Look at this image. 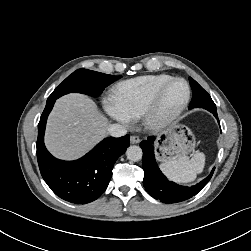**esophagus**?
Masks as SVG:
<instances>
[{
  "instance_id": "34e87169",
  "label": "esophagus",
  "mask_w": 251,
  "mask_h": 251,
  "mask_svg": "<svg viewBox=\"0 0 251 251\" xmlns=\"http://www.w3.org/2000/svg\"><path fill=\"white\" fill-rule=\"evenodd\" d=\"M130 142L131 144H138L140 142V138L138 136H131Z\"/></svg>"
}]
</instances>
